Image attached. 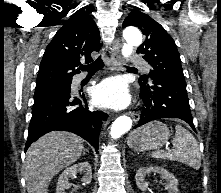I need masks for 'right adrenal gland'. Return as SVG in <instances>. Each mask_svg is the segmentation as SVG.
I'll use <instances>...</instances> for the list:
<instances>
[{
	"label": "right adrenal gland",
	"mask_w": 221,
	"mask_h": 193,
	"mask_svg": "<svg viewBox=\"0 0 221 193\" xmlns=\"http://www.w3.org/2000/svg\"><path fill=\"white\" fill-rule=\"evenodd\" d=\"M86 152H88V150H86L85 148H83V155H85Z\"/></svg>",
	"instance_id": "right-adrenal-gland-1"
}]
</instances>
